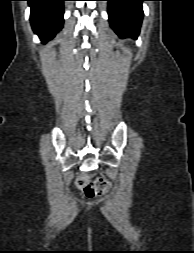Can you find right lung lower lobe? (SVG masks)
I'll return each instance as SVG.
<instances>
[{"mask_svg":"<svg viewBox=\"0 0 194 253\" xmlns=\"http://www.w3.org/2000/svg\"><path fill=\"white\" fill-rule=\"evenodd\" d=\"M31 7V25L33 31L43 42L52 39L63 25L66 0H26Z\"/></svg>","mask_w":194,"mask_h":253,"instance_id":"98d812e1","label":"right lung lower lobe"}]
</instances>
